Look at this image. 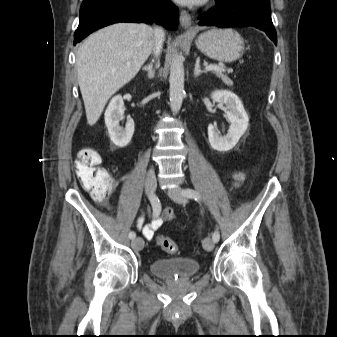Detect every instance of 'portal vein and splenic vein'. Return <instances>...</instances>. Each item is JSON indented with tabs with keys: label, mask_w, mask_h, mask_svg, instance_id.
Returning <instances> with one entry per match:
<instances>
[{
	"label": "portal vein and splenic vein",
	"mask_w": 337,
	"mask_h": 337,
	"mask_svg": "<svg viewBox=\"0 0 337 337\" xmlns=\"http://www.w3.org/2000/svg\"><path fill=\"white\" fill-rule=\"evenodd\" d=\"M205 70L207 71H224V69L222 67H218V66H215V65H209V66H206L205 67ZM229 71H232V70H229Z\"/></svg>",
	"instance_id": "portal-vein-and-splenic-vein-1"
}]
</instances>
